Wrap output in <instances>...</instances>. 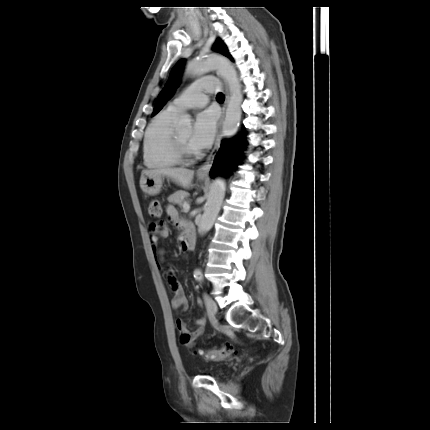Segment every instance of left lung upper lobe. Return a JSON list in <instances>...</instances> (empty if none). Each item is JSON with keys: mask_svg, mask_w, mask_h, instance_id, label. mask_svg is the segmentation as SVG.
Returning a JSON list of instances; mask_svg holds the SVG:
<instances>
[{"mask_svg": "<svg viewBox=\"0 0 430 430\" xmlns=\"http://www.w3.org/2000/svg\"><path fill=\"white\" fill-rule=\"evenodd\" d=\"M214 47L219 53L225 55L226 57H228L232 60V57L229 54L226 45L221 40H218L215 43ZM183 65H184V61L180 60L173 67V69L170 73L169 80L165 86V89L162 90V92L160 93V95L157 98L155 108L153 111V115L157 114L162 109V106L172 97L174 90L179 83V77H180V74L182 72Z\"/></svg>", "mask_w": 430, "mask_h": 430, "instance_id": "left-lung-upper-lobe-1", "label": "left lung upper lobe"}]
</instances>
